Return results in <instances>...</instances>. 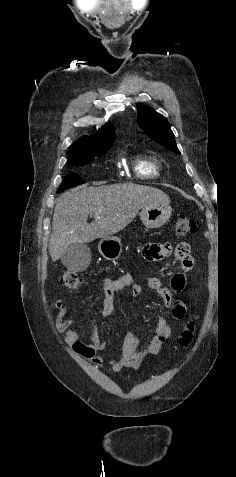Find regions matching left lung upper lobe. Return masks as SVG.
<instances>
[{
    "mask_svg": "<svg viewBox=\"0 0 236 477\" xmlns=\"http://www.w3.org/2000/svg\"><path fill=\"white\" fill-rule=\"evenodd\" d=\"M138 123L142 130L155 142L176 154H180L174 134L163 115L156 113L151 107L142 108L138 111Z\"/></svg>",
    "mask_w": 236,
    "mask_h": 477,
    "instance_id": "1",
    "label": "left lung upper lobe"
}]
</instances>
